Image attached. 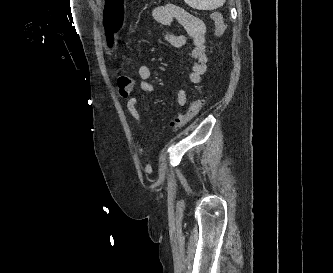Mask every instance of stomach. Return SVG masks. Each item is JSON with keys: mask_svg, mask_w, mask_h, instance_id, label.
I'll return each mask as SVG.
<instances>
[{"mask_svg": "<svg viewBox=\"0 0 333 273\" xmlns=\"http://www.w3.org/2000/svg\"><path fill=\"white\" fill-rule=\"evenodd\" d=\"M124 4L126 0H103V7H101L100 22L104 24V28L108 30L107 37L115 38L116 32L120 28H125V23L129 22V17L124 16ZM108 51H115V44L107 45Z\"/></svg>", "mask_w": 333, "mask_h": 273, "instance_id": "stomach-1", "label": "stomach"}]
</instances>
